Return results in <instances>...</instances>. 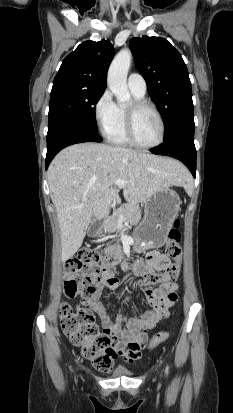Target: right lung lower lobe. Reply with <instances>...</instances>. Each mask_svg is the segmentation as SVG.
I'll use <instances>...</instances> for the list:
<instances>
[{"instance_id":"obj_1","label":"right lung lower lobe","mask_w":233,"mask_h":413,"mask_svg":"<svg viewBox=\"0 0 233 413\" xmlns=\"http://www.w3.org/2000/svg\"><path fill=\"white\" fill-rule=\"evenodd\" d=\"M97 132L70 123H59L48 129L46 169L55 155L63 148L82 142H101Z\"/></svg>"}]
</instances>
